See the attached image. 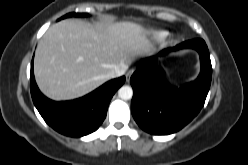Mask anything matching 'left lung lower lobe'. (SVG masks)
I'll list each match as a JSON object with an SVG mask.
<instances>
[{
	"mask_svg": "<svg viewBox=\"0 0 248 165\" xmlns=\"http://www.w3.org/2000/svg\"><path fill=\"white\" fill-rule=\"evenodd\" d=\"M198 51L201 72L198 78L181 88H172L164 79L155 57L143 60L130 79L133 87L131 112L137 124L154 135H168L182 129L201 110L208 94L212 66L207 45L202 39L185 41L160 55L179 49Z\"/></svg>",
	"mask_w": 248,
	"mask_h": 165,
	"instance_id": "obj_1",
	"label": "left lung lower lobe"
}]
</instances>
